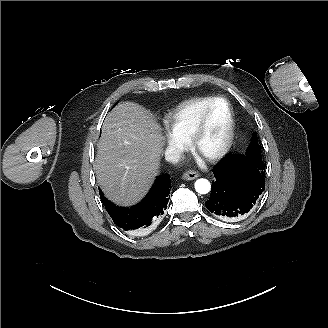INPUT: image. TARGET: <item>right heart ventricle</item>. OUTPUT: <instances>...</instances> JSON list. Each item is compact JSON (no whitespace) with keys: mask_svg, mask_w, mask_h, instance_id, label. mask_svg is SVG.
<instances>
[{"mask_svg":"<svg viewBox=\"0 0 328 328\" xmlns=\"http://www.w3.org/2000/svg\"><path fill=\"white\" fill-rule=\"evenodd\" d=\"M214 98L213 96L195 97L175 106V116L169 130L178 139L182 148L187 144L191 128L199 117L201 110L209 105Z\"/></svg>","mask_w":328,"mask_h":328,"instance_id":"right-heart-ventricle-1","label":"right heart ventricle"}]
</instances>
